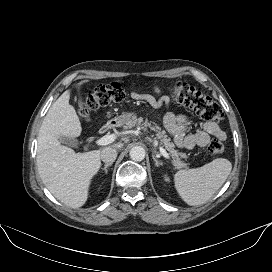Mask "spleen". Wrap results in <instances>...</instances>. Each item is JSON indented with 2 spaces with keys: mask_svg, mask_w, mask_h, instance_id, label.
Masks as SVG:
<instances>
[{
  "mask_svg": "<svg viewBox=\"0 0 272 272\" xmlns=\"http://www.w3.org/2000/svg\"><path fill=\"white\" fill-rule=\"evenodd\" d=\"M231 169L229 160L217 158L199 168L180 170L174 175L175 188L188 205H202L224 184Z\"/></svg>",
  "mask_w": 272,
  "mask_h": 272,
  "instance_id": "obj_1",
  "label": "spleen"
}]
</instances>
